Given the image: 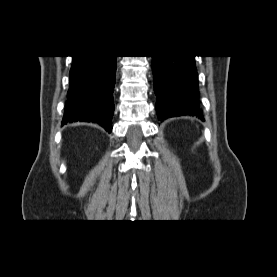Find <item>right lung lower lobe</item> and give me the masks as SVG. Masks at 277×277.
<instances>
[{
  "instance_id": "right-lung-lower-lobe-1",
  "label": "right lung lower lobe",
  "mask_w": 277,
  "mask_h": 277,
  "mask_svg": "<svg viewBox=\"0 0 277 277\" xmlns=\"http://www.w3.org/2000/svg\"><path fill=\"white\" fill-rule=\"evenodd\" d=\"M116 66V56H73L62 124L94 122L111 132Z\"/></svg>"
}]
</instances>
